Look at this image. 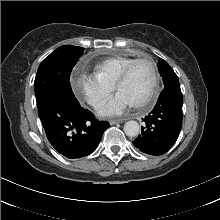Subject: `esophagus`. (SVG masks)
<instances>
[{
	"mask_svg": "<svg viewBox=\"0 0 220 220\" xmlns=\"http://www.w3.org/2000/svg\"><path fill=\"white\" fill-rule=\"evenodd\" d=\"M126 119H111L109 122L111 125L116 124V123H122L124 122Z\"/></svg>",
	"mask_w": 220,
	"mask_h": 220,
	"instance_id": "obj_1",
	"label": "esophagus"
}]
</instances>
